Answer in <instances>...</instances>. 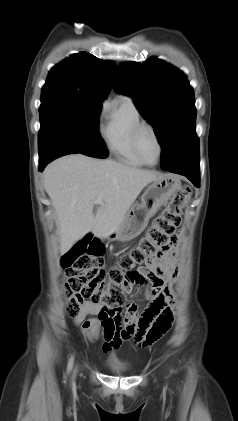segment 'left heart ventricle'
<instances>
[{
	"mask_svg": "<svg viewBox=\"0 0 238 421\" xmlns=\"http://www.w3.org/2000/svg\"><path fill=\"white\" fill-rule=\"evenodd\" d=\"M140 147L145 159L153 163L157 159L158 147L156 141L149 130H144L140 137Z\"/></svg>",
	"mask_w": 238,
	"mask_h": 421,
	"instance_id": "b2bd125f",
	"label": "left heart ventricle"
}]
</instances>
